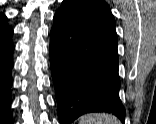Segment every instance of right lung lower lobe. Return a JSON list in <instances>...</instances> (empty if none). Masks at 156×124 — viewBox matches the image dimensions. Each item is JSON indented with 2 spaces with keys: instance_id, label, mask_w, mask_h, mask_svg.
<instances>
[{
  "instance_id": "1",
  "label": "right lung lower lobe",
  "mask_w": 156,
  "mask_h": 124,
  "mask_svg": "<svg viewBox=\"0 0 156 124\" xmlns=\"http://www.w3.org/2000/svg\"><path fill=\"white\" fill-rule=\"evenodd\" d=\"M12 34L13 31L8 25L0 27V124H13L10 113L11 70L14 50V45L11 42Z\"/></svg>"
}]
</instances>
